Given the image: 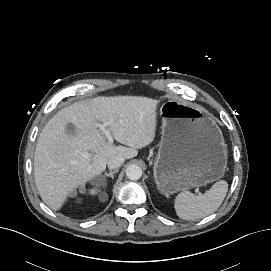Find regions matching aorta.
Segmentation results:
<instances>
[{
    "mask_svg": "<svg viewBox=\"0 0 271 271\" xmlns=\"http://www.w3.org/2000/svg\"><path fill=\"white\" fill-rule=\"evenodd\" d=\"M126 176L130 180H138L142 176V169L138 165H129L126 169Z\"/></svg>",
    "mask_w": 271,
    "mask_h": 271,
    "instance_id": "obj_1",
    "label": "aorta"
}]
</instances>
